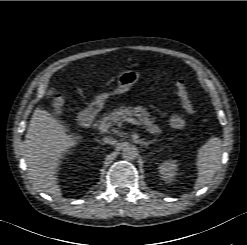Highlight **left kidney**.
Here are the masks:
<instances>
[{"mask_svg": "<svg viewBox=\"0 0 247 245\" xmlns=\"http://www.w3.org/2000/svg\"><path fill=\"white\" fill-rule=\"evenodd\" d=\"M178 165L174 160H168L160 164L159 174L165 181H173L177 174Z\"/></svg>", "mask_w": 247, "mask_h": 245, "instance_id": "obj_1", "label": "left kidney"}]
</instances>
